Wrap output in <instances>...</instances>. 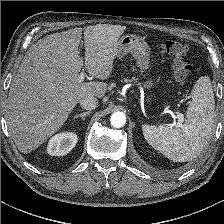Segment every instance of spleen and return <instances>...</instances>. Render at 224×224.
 <instances>
[{
  "instance_id": "spleen-1",
  "label": "spleen",
  "mask_w": 224,
  "mask_h": 224,
  "mask_svg": "<svg viewBox=\"0 0 224 224\" xmlns=\"http://www.w3.org/2000/svg\"><path fill=\"white\" fill-rule=\"evenodd\" d=\"M191 101L184 124L160 127L143 125L146 141L174 162L196 158L206 147L214 124V93L208 76H201L191 92Z\"/></svg>"
}]
</instances>
